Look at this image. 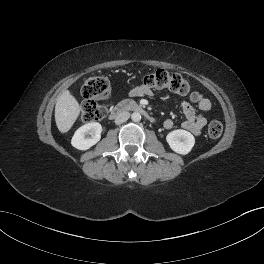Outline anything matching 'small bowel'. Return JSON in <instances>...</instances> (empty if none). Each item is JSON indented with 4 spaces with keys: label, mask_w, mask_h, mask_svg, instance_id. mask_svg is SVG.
I'll list each match as a JSON object with an SVG mask.
<instances>
[{
    "label": "small bowel",
    "mask_w": 264,
    "mask_h": 264,
    "mask_svg": "<svg viewBox=\"0 0 264 264\" xmlns=\"http://www.w3.org/2000/svg\"><path fill=\"white\" fill-rule=\"evenodd\" d=\"M151 94V90L144 85L137 86L130 91V96L132 97L149 96ZM181 106L184 115L182 127L194 135L201 134L203 127L207 123V113L211 109L210 100L203 95H199V113H196L195 109L187 102H182ZM173 125L174 123L171 119H167L164 121V127L166 129H171Z\"/></svg>",
    "instance_id": "1"
}]
</instances>
